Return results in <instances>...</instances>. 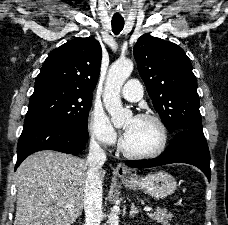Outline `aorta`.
I'll use <instances>...</instances> for the list:
<instances>
[{
	"label": "aorta",
	"mask_w": 228,
	"mask_h": 225,
	"mask_svg": "<svg viewBox=\"0 0 228 225\" xmlns=\"http://www.w3.org/2000/svg\"><path fill=\"white\" fill-rule=\"evenodd\" d=\"M132 60H116L111 64L104 88L103 102L105 104L106 110H108L109 115H111V121L114 127H120L124 125L126 119L132 117V110L129 108H123L120 90L130 76L133 70ZM110 225H119L118 211H111L109 215Z\"/></svg>",
	"instance_id": "762f6f07"
}]
</instances>
